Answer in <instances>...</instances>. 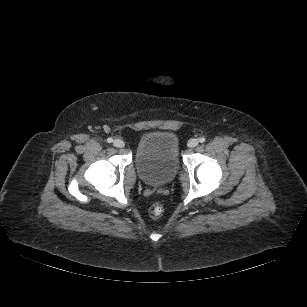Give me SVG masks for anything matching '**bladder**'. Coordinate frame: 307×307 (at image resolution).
Instances as JSON below:
<instances>
[{
	"mask_svg": "<svg viewBox=\"0 0 307 307\" xmlns=\"http://www.w3.org/2000/svg\"><path fill=\"white\" fill-rule=\"evenodd\" d=\"M135 166L147 185L164 186L171 182L180 167L177 136L169 131L144 134L136 147Z\"/></svg>",
	"mask_w": 307,
	"mask_h": 307,
	"instance_id": "obj_1",
	"label": "bladder"
}]
</instances>
